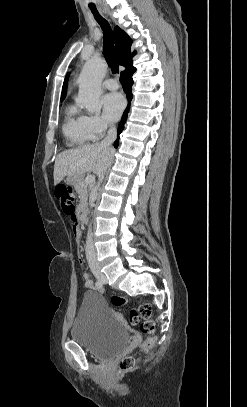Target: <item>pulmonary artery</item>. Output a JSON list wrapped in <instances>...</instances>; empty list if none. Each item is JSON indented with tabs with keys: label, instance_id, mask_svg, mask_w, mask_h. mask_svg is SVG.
I'll list each match as a JSON object with an SVG mask.
<instances>
[{
	"label": "pulmonary artery",
	"instance_id": "obj_1",
	"mask_svg": "<svg viewBox=\"0 0 247 407\" xmlns=\"http://www.w3.org/2000/svg\"><path fill=\"white\" fill-rule=\"evenodd\" d=\"M103 87L109 90H116L118 89L119 85L116 80L110 78L103 82Z\"/></svg>",
	"mask_w": 247,
	"mask_h": 407
}]
</instances>
